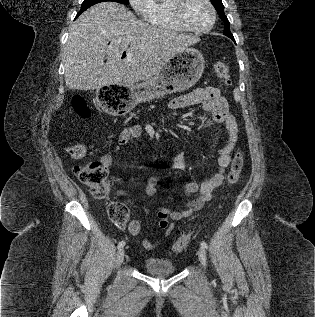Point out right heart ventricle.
Listing matches in <instances>:
<instances>
[{
	"mask_svg": "<svg viewBox=\"0 0 315 317\" xmlns=\"http://www.w3.org/2000/svg\"><path fill=\"white\" fill-rule=\"evenodd\" d=\"M172 0H155L152 10L146 18L148 23L158 29L182 31L175 22L171 11Z\"/></svg>",
	"mask_w": 315,
	"mask_h": 317,
	"instance_id": "1",
	"label": "right heart ventricle"
}]
</instances>
